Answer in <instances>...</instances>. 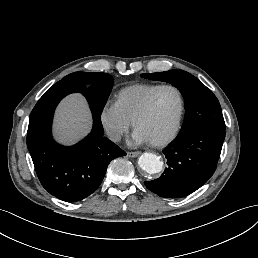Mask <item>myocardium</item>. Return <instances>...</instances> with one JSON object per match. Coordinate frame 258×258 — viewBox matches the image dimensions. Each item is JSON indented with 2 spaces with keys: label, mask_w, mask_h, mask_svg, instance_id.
Listing matches in <instances>:
<instances>
[{
  "label": "myocardium",
  "mask_w": 258,
  "mask_h": 258,
  "mask_svg": "<svg viewBox=\"0 0 258 258\" xmlns=\"http://www.w3.org/2000/svg\"><path fill=\"white\" fill-rule=\"evenodd\" d=\"M163 89H172L174 90L177 95H178V99H179V110H178V116H177V121L175 124V127L172 131V133L166 137V138H162V139H155V138H151L148 136H142L140 134L139 131V127H140V123L147 117L153 98L154 96ZM183 109H184V103H183V98H182V94L180 93V91L174 87L173 85H161L158 86L147 98L145 105L143 107V109L141 110V112L139 113V115L137 116V118L134 121V132L137 136H139L140 138H142L143 140H145L146 142L153 144V145H166L169 144L170 142H172L174 140V138L176 137L179 129H180V125H181V120H182V115H183Z\"/></svg>",
  "instance_id": "obj_1"
}]
</instances>
